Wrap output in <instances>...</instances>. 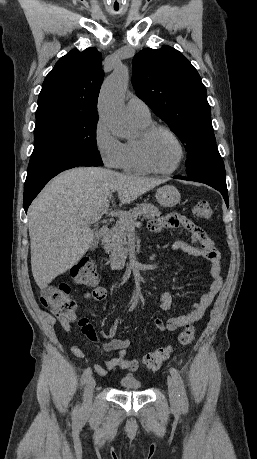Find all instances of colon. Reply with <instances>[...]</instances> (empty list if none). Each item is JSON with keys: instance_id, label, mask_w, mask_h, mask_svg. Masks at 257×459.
Segmentation results:
<instances>
[{"instance_id": "colon-1", "label": "colon", "mask_w": 257, "mask_h": 459, "mask_svg": "<svg viewBox=\"0 0 257 459\" xmlns=\"http://www.w3.org/2000/svg\"><path fill=\"white\" fill-rule=\"evenodd\" d=\"M194 215L198 220H209L212 216L209 202L205 199L199 200L194 207ZM71 276L80 285L93 286L98 281L96 265L87 258L80 260L72 268ZM40 301L61 320L72 319L77 310L76 302L70 297V286L66 283L44 287ZM194 338L195 330L192 327H186L178 336V344L187 346L194 341ZM169 354V347L158 348L144 357L143 364L149 370H157L167 360Z\"/></svg>"}]
</instances>
